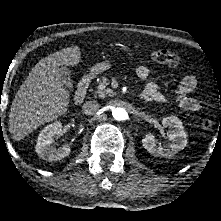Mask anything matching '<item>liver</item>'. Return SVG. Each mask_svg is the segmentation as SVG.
I'll list each match as a JSON object with an SVG mask.
<instances>
[{"mask_svg": "<svg viewBox=\"0 0 221 221\" xmlns=\"http://www.w3.org/2000/svg\"><path fill=\"white\" fill-rule=\"evenodd\" d=\"M81 59L78 46L57 51L40 60L20 86L9 113V131L20 141L39 126L62 116L70 96L60 80V66H75Z\"/></svg>", "mask_w": 221, "mask_h": 221, "instance_id": "6515ba94", "label": "liver"}]
</instances>
